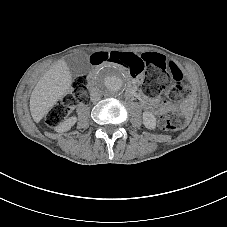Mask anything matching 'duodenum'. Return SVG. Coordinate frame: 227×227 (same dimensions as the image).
Wrapping results in <instances>:
<instances>
[{
  "label": "duodenum",
  "instance_id": "duodenum-1",
  "mask_svg": "<svg viewBox=\"0 0 227 227\" xmlns=\"http://www.w3.org/2000/svg\"><path fill=\"white\" fill-rule=\"evenodd\" d=\"M127 90L128 91H131V94L133 95V96H137V91H136V89H135V87H134V84H129V86H128V88H127ZM137 98H138V100L140 101V103L143 105V106H145V101H144V97L143 96H137Z\"/></svg>",
  "mask_w": 227,
  "mask_h": 227
}]
</instances>
